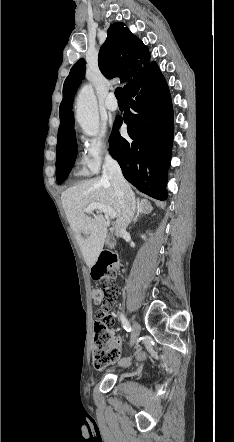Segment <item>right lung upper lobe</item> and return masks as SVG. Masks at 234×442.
Listing matches in <instances>:
<instances>
[{"mask_svg":"<svg viewBox=\"0 0 234 442\" xmlns=\"http://www.w3.org/2000/svg\"><path fill=\"white\" fill-rule=\"evenodd\" d=\"M107 39L100 48L98 65L104 76L119 77L128 83L146 74L156 63L149 62L148 48L133 35L124 24H112L107 31ZM85 62L80 59L73 65L63 85V99L59 107L60 126L57 148L65 144L75 133L72 103L76 90L84 78Z\"/></svg>","mask_w":234,"mask_h":442,"instance_id":"obj_1","label":"right lung upper lobe"}]
</instances>
